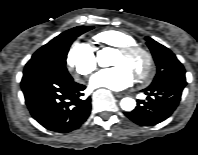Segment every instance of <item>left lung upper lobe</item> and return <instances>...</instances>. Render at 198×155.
I'll use <instances>...</instances> for the list:
<instances>
[{
    "instance_id": "left-lung-upper-lobe-1",
    "label": "left lung upper lobe",
    "mask_w": 198,
    "mask_h": 155,
    "mask_svg": "<svg viewBox=\"0 0 198 155\" xmlns=\"http://www.w3.org/2000/svg\"><path fill=\"white\" fill-rule=\"evenodd\" d=\"M157 66V74L150 86L169 80H184L185 69L176 56L150 37L145 38Z\"/></svg>"
}]
</instances>
